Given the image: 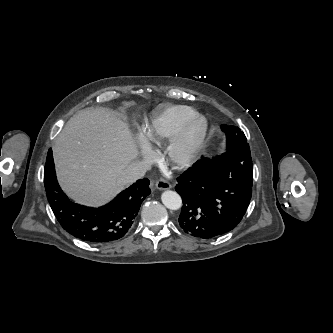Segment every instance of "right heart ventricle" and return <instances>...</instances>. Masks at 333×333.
Wrapping results in <instances>:
<instances>
[{
    "instance_id": "1",
    "label": "right heart ventricle",
    "mask_w": 333,
    "mask_h": 333,
    "mask_svg": "<svg viewBox=\"0 0 333 333\" xmlns=\"http://www.w3.org/2000/svg\"><path fill=\"white\" fill-rule=\"evenodd\" d=\"M195 113L197 111L187 105L163 106L144 125L142 134L145 141L154 146L171 140L183 122Z\"/></svg>"
}]
</instances>
